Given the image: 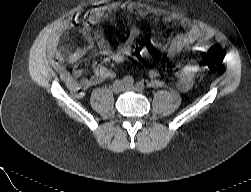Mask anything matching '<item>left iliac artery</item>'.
Here are the masks:
<instances>
[{
    "instance_id": "1",
    "label": "left iliac artery",
    "mask_w": 251,
    "mask_h": 192,
    "mask_svg": "<svg viewBox=\"0 0 251 192\" xmlns=\"http://www.w3.org/2000/svg\"><path fill=\"white\" fill-rule=\"evenodd\" d=\"M135 87L137 91H143V89L145 88V85L143 82H138L136 83Z\"/></svg>"
}]
</instances>
